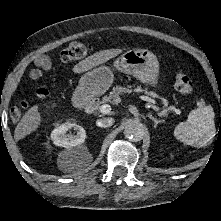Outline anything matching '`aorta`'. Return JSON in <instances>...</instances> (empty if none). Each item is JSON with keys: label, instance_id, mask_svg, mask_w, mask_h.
I'll return each instance as SVG.
<instances>
[{"label": "aorta", "instance_id": "aorta-1", "mask_svg": "<svg viewBox=\"0 0 221 221\" xmlns=\"http://www.w3.org/2000/svg\"><path fill=\"white\" fill-rule=\"evenodd\" d=\"M145 134L144 126L136 121L128 120L124 126V135L133 141H140Z\"/></svg>", "mask_w": 221, "mask_h": 221}]
</instances>
